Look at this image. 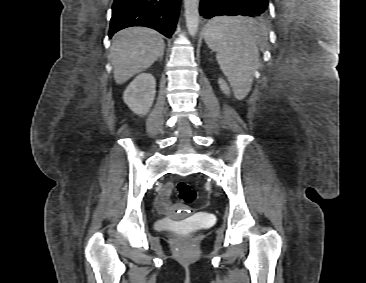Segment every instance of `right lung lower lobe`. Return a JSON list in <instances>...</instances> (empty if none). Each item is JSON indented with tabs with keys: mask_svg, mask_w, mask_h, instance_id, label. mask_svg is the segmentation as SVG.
<instances>
[{
	"mask_svg": "<svg viewBox=\"0 0 366 283\" xmlns=\"http://www.w3.org/2000/svg\"><path fill=\"white\" fill-rule=\"evenodd\" d=\"M181 0H114L109 37L132 27L153 28L170 38L174 33Z\"/></svg>",
	"mask_w": 366,
	"mask_h": 283,
	"instance_id": "right-lung-lower-lobe-1",
	"label": "right lung lower lobe"
}]
</instances>
